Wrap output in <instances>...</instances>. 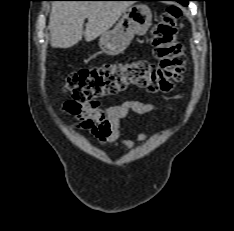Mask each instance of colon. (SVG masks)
<instances>
[{
  "instance_id": "1",
  "label": "colon",
  "mask_w": 234,
  "mask_h": 231,
  "mask_svg": "<svg viewBox=\"0 0 234 231\" xmlns=\"http://www.w3.org/2000/svg\"><path fill=\"white\" fill-rule=\"evenodd\" d=\"M178 7H169L159 16L152 35L157 64L147 61L114 62L99 67L80 69L70 73L65 90L71 100L67 108L75 112L79 105L114 95L129 86L151 92H168L185 72V55L178 40Z\"/></svg>"
}]
</instances>
